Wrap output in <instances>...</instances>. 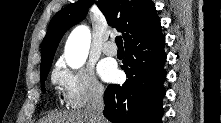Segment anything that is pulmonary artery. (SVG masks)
Returning <instances> with one entry per match:
<instances>
[{
  "label": "pulmonary artery",
  "instance_id": "1",
  "mask_svg": "<svg viewBox=\"0 0 221 123\" xmlns=\"http://www.w3.org/2000/svg\"><path fill=\"white\" fill-rule=\"evenodd\" d=\"M102 51L106 55L115 56L117 54V47L112 41H108L103 45Z\"/></svg>",
  "mask_w": 221,
  "mask_h": 123
}]
</instances>
